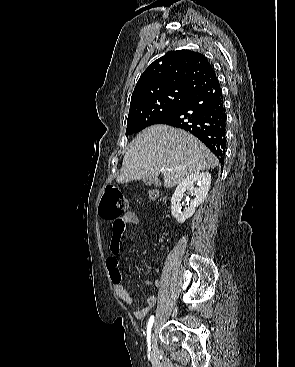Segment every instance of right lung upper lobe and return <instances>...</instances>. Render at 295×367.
Returning a JSON list of instances; mask_svg holds the SVG:
<instances>
[{
  "label": "right lung upper lobe",
  "instance_id": "right-lung-upper-lobe-1",
  "mask_svg": "<svg viewBox=\"0 0 295 367\" xmlns=\"http://www.w3.org/2000/svg\"><path fill=\"white\" fill-rule=\"evenodd\" d=\"M217 79L207 58L190 50L169 52L155 60L140 76L131 104L139 99L169 90L192 94Z\"/></svg>",
  "mask_w": 295,
  "mask_h": 367
}]
</instances>
